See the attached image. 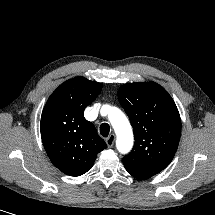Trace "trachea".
I'll list each match as a JSON object with an SVG mask.
<instances>
[{
  "label": "trachea",
  "instance_id": "obj_1",
  "mask_svg": "<svg viewBox=\"0 0 215 215\" xmlns=\"http://www.w3.org/2000/svg\"><path fill=\"white\" fill-rule=\"evenodd\" d=\"M110 132V126L107 123H103L100 126V134L103 137H107L109 135Z\"/></svg>",
  "mask_w": 215,
  "mask_h": 215
}]
</instances>
